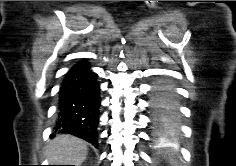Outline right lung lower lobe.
<instances>
[{
    "mask_svg": "<svg viewBox=\"0 0 236 166\" xmlns=\"http://www.w3.org/2000/svg\"><path fill=\"white\" fill-rule=\"evenodd\" d=\"M96 73L86 61L74 65L66 74L59 91L54 130L80 137L97 147L100 86Z\"/></svg>",
    "mask_w": 236,
    "mask_h": 166,
    "instance_id": "obj_1",
    "label": "right lung lower lobe"
}]
</instances>
